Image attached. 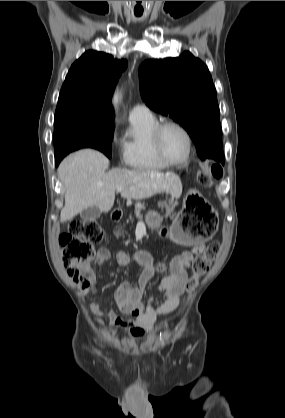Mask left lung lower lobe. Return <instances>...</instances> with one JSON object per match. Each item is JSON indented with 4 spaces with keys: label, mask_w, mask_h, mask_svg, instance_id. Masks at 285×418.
<instances>
[{
    "label": "left lung lower lobe",
    "mask_w": 285,
    "mask_h": 418,
    "mask_svg": "<svg viewBox=\"0 0 285 418\" xmlns=\"http://www.w3.org/2000/svg\"><path fill=\"white\" fill-rule=\"evenodd\" d=\"M224 155L223 152H217L216 154H212V159L218 160L220 157Z\"/></svg>",
    "instance_id": "0a47b994"
}]
</instances>
